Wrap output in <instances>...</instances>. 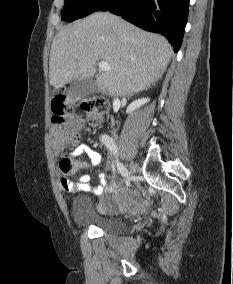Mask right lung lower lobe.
<instances>
[{
	"label": "right lung lower lobe",
	"instance_id": "98d812e1",
	"mask_svg": "<svg viewBox=\"0 0 233 284\" xmlns=\"http://www.w3.org/2000/svg\"><path fill=\"white\" fill-rule=\"evenodd\" d=\"M190 0H106L96 11H110L136 26L164 35L180 49Z\"/></svg>",
	"mask_w": 233,
	"mask_h": 284
}]
</instances>
